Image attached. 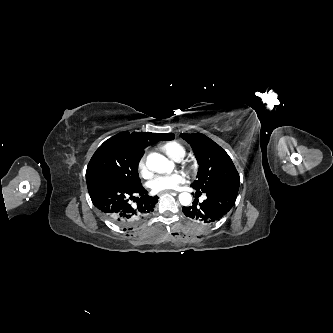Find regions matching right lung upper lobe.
<instances>
[{
	"label": "right lung upper lobe",
	"mask_w": 333,
	"mask_h": 333,
	"mask_svg": "<svg viewBox=\"0 0 333 333\" xmlns=\"http://www.w3.org/2000/svg\"><path fill=\"white\" fill-rule=\"evenodd\" d=\"M166 137H161L158 133H140V132H121L115 135L116 138L121 139L127 146L129 152L134 159L140 160L144 154V149L151 144L157 142L158 139L172 140L174 134L168 133Z\"/></svg>",
	"instance_id": "right-lung-upper-lobe-1"
}]
</instances>
